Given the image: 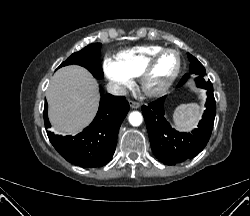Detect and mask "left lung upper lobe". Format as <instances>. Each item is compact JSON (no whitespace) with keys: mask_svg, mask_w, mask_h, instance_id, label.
I'll list each match as a JSON object with an SVG mask.
<instances>
[{"mask_svg":"<svg viewBox=\"0 0 250 216\" xmlns=\"http://www.w3.org/2000/svg\"><path fill=\"white\" fill-rule=\"evenodd\" d=\"M188 58L190 61V74L197 75V78L195 79L196 84L201 86H212V83L208 80H205L206 71L204 66L191 54L188 53ZM190 74H185L181 81L179 82L178 86H182L187 79L190 77Z\"/></svg>","mask_w":250,"mask_h":216,"instance_id":"1","label":"left lung upper lobe"}]
</instances>
